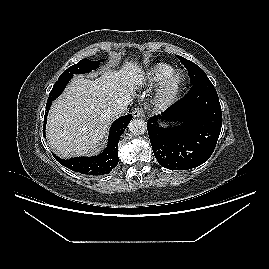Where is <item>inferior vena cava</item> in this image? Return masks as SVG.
Returning <instances> with one entry per match:
<instances>
[{"mask_svg": "<svg viewBox=\"0 0 269 269\" xmlns=\"http://www.w3.org/2000/svg\"><path fill=\"white\" fill-rule=\"evenodd\" d=\"M129 105V101L125 100L118 104H115L113 107H111L108 112L111 118L118 117L120 115H123L127 109V106Z\"/></svg>", "mask_w": 269, "mask_h": 269, "instance_id": "inferior-vena-cava-1", "label": "inferior vena cava"}]
</instances>
